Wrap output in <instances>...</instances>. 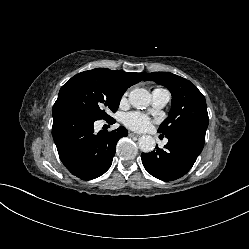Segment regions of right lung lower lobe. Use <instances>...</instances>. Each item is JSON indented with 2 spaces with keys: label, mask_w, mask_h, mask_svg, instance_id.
<instances>
[{
  "label": "right lung lower lobe",
  "mask_w": 249,
  "mask_h": 249,
  "mask_svg": "<svg viewBox=\"0 0 249 249\" xmlns=\"http://www.w3.org/2000/svg\"><path fill=\"white\" fill-rule=\"evenodd\" d=\"M52 135L59 157L75 176L91 180L104 174L111 166L116 144L128 131L123 126L112 132L94 134L90 119L77 110L54 105Z\"/></svg>",
  "instance_id": "right-lung-lower-lobe-1"
}]
</instances>
